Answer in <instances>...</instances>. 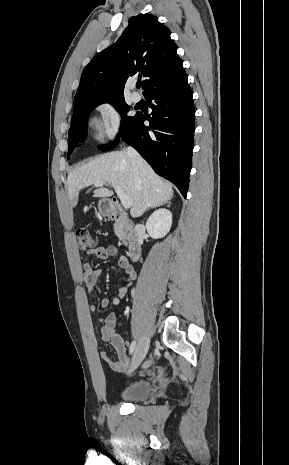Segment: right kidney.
I'll return each instance as SVG.
<instances>
[{
  "mask_svg": "<svg viewBox=\"0 0 289 465\" xmlns=\"http://www.w3.org/2000/svg\"><path fill=\"white\" fill-rule=\"evenodd\" d=\"M172 213L167 209H158L151 214L146 222V229L152 238L164 237L171 228Z\"/></svg>",
  "mask_w": 289,
  "mask_h": 465,
  "instance_id": "right-kidney-1",
  "label": "right kidney"
}]
</instances>
